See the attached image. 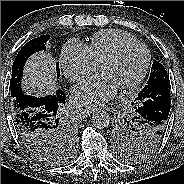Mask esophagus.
I'll use <instances>...</instances> for the list:
<instances>
[{
	"label": "esophagus",
	"instance_id": "1",
	"mask_svg": "<svg viewBox=\"0 0 184 184\" xmlns=\"http://www.w3.org/2000/svg\"><path fill=\"white\" fill-rule=\"evenodd\" d=\"M81 113L84 115H89L91 112H93V109H80Z\"/></svg>",
	"mask_w": 184,
	"mask_h": 184
}]
</instances>
